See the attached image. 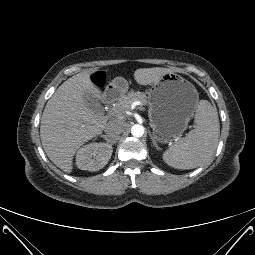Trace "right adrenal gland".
Returning a JSON list of instances; mask_svg holds the SVG:
<instances>
[{
	"mask_svg": "<svg viewBox=\"0 0 255 255\" xmlns=\"http://www.w3.org/2000/svg\"><path fill=\"white\" fill-rule=\"evenodd\" d=\"M101 137H103L105 141L111 145V142L109 141V138L106 135H101Z\"/></svg>",
	"mask_w": 255,
	"mask_h": 255,
	"instance_id": "2a0ac1e0",
	"label": "right adrenal gland"
}]
</instances>
